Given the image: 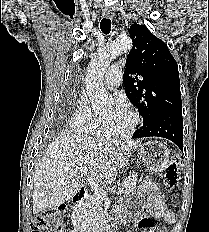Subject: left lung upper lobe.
Instances as JSON below:
<instances>
[{
    "instance_id": "left-lung-upper-lobe-1",
    "label": "left lung upper lobe",
    "mask_w": 209,
    "mask_h": 232,
    "mask_svg": "<svg viewBox=\"0 0 209 232\" xmlns=\"http://www.w3.org/2000/svg\"><path fill=\"white\" fill-rule=\"evenodd\" d=\"M130 37L133 47L126 59L123 84L144 127L164 113L182 109L178 65L167 45L145 25H131Z\"/></svg>"
}]
</instances>
